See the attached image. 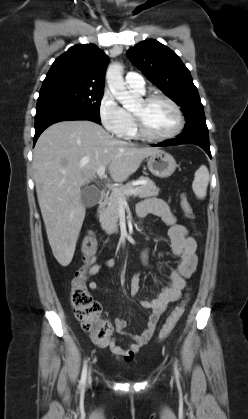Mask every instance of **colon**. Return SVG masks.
Instances as JSON below:
<instances>
[{
    "instance_id": "obj_1",
    "label": "colon",
    "mask_w": 248,
    "mask_h": 419,
    "mask_svg": "<svg viewBox=\"0 0 248 419\" xmlns=\"http://www.w3.org/2000/svg\"><path fill=\"white\" fill-rule=\"evenodd\" d=\"M180 206L186 217L193 219V208L185 196L181 197ZM97 250V239L91 232L82 242L83 265L76 271L70 282V299L76 319L84 331L88 332L94 343L106 344L112 336L113 327L109 322L98 318L100 305L92 299L86 288L87 272L94 261ZM185 310V301L180 303L167 318L158 334V341L164 340L173 330Z\"/></svg>"
}]
</instances>
